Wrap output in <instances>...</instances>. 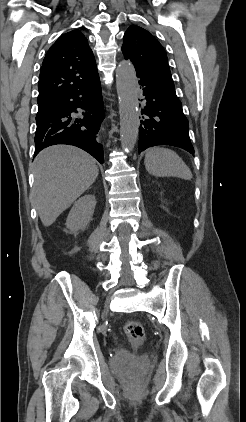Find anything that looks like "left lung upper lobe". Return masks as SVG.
<instances>
[{"instance_id": "left-lung-upper-lobe-1", "label": "left lung upper lobe", "mask_w": 246, "mask_h": 422, "mask_svg": "<svg viewBox=\"0 0 246 422\" xmlns=\"http://www.w3.org/2000/svg\"><path fill=\"white\" fill-rule=\"evenodd\" d=\"M122 52L136 72L143 74L176 95L167 55L159 41L147 30L132 25L124 34Z\"/></svg>"}]
</instances>
